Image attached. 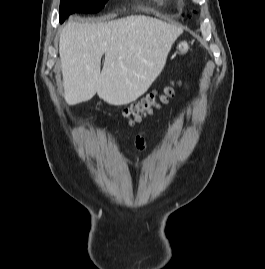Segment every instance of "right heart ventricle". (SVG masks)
Here are the masks:
<instances>
[{
    "label": "right heart ventricle",
    "mask_w": 265,
    "mask_h": 269,
    "mask_svg": "<svg viewBox=\"0 0 265 269\" xmlns=\"http://www.w3.org/2000/svg\"><path fill=\"white\" fill-rule=\"evenodd\" d=\"M155 1H158L160 3H164V0H155Z\"/></svg>",
    "instance_id": "obj_1"
}]
</instances>
